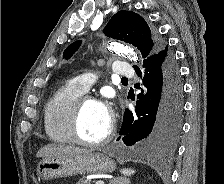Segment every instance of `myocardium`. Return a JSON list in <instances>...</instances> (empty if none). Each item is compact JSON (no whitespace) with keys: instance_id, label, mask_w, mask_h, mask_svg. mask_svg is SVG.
Returning a JSON list of instances; mask_svg holds the SVG:
<instances>
[{"instance_id":"obj_1","label":"myocardium","mask_w":224,"mask_h":184,"mask_svg":"<svg viewBox=\"0 0 224 184\" xmlns=\"http://www.w3.org/2000/svg\"><path fill=\"white\" fill-rule=\"evenodd\" d=\"M88 102L101 103V100L91 95H82L77 99L72 109L70 120H69V133H70L72 141L79 145L88 146V147H99L108 143L114 136V133L116 130V121H115V117L113 113L109 112L110 125H109L107 134L103 138L97 141H90V140H86L82 138L79 132L80 118H81L82 111Z\"/></svg>"}]
</instances>
